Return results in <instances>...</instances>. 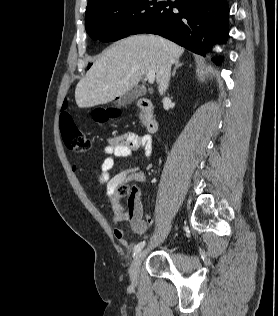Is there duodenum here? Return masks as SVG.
<instances>
[{
    "instance_id": "1",
    "label": "duodenum",
    "mask_w": 278,
    "mask_h": 316,
    "mask_svg": "<svg viewBox=\"0 0 278 316\" xmlns=\"http://www.w3.org/2000/svg\"><path fill=\"white\" fill-rule=\"evenodd\" d=\"M136 105L145 114V127L149 133H155L158 130V120L154 115V106L151 100L147 98H140L137 100Z\"/></svg>"
}]
</instances>
